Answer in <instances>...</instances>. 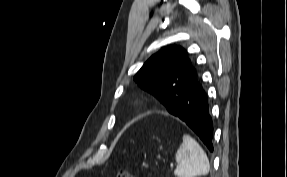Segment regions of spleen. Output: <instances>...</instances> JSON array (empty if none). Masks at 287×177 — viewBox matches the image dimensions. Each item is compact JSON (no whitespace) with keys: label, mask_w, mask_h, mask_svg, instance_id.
Wrapping results in <instances>:
<instances>
[{"label":"spleen","mask_w":287,"mask_h":177,"mask_svg":"<svg viewBox=\"0 0 287 177\" xmlns=\"http://www.w3.org/2000/svg\"><path fill=\"white\" fill-rule=\"evenodd\" d=\"M178 167L174 171L177 177H196L209 172V160L202 147L189 135L183 136V142L175 155Z\"/></svg>","instance_id":"spleen-1"}]
</instances>
